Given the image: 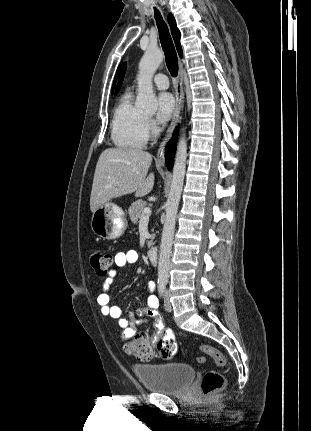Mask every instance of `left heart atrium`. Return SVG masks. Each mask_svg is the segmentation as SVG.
<instances>
[{
    "instance_id": "obj_1",
    "label": "left heart atrium",
    "mask_w": 311,
    "mask_h": 431,
    "mask_svg": "<svg viewBox=\"0 0 311 431\" xmlns=\"http://www.w3.org/2000/svg\"><path fill=\"white\" fill-rule=\"evenodd\" d=\"M176 110V101L169 92H163L158 97L157 120L166 123L171 120Z\"/></svg>"
}]
</instances>
